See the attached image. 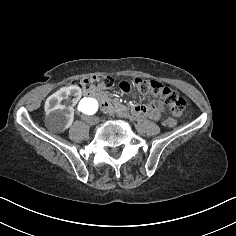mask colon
<instances>
[{
	"label": "colon",
	"instance_id": "obj_1",
	"mask_svg": "<svg viewBox=\"0 0 236 236\" xmlns=\"http://www.w3.org/2000/svg\"><path fill=\"white\" fill-rule=\"evenodd\" d=\"M71 84L80 87L83 90H98L107 89L113 86L114 81L110 76L104 74H93L83 78H77L71 81ZM134 86L141 93H152L160 96L169 106L171 117L164 121L167 127L176 125V118L180 117L186 108L184 98L178 95L177 92L163 84L142 78H136L133 81L123 80L119 87L122 91L128 92Z\"/></svg>",
	"mask_w": 236,
	"mask_h": 236
}]
</instances>
